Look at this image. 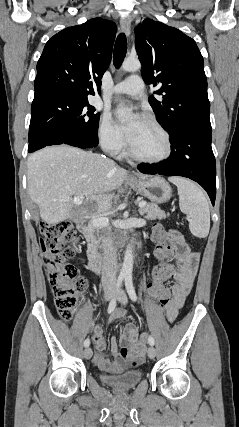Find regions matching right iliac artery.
Segmentation results:
<instances>
[{"label": "right iliac artery", "mask_w": 239, "mask_h": 427, "mask_svg": "<svg viewBox=\"0 0 239 427\" xmlns=\"http://www.w3.org/2000/svg\"><path fill=\"white\" fill-rule=\"evenodd\" d=\"M123 279H124V277H123V276H119V277H118L117 284H116V291H115V295H114V297L112 298V300H111V301H110V303H109V306H108V313H112V312L114 311L115 307H116V296H117V294H118V292H119V289H120V287H121V285H122ZM89 345H90V340H89V338H87V339L84 341V346H85V347H88Z\"/></svg>", "instance_id": "right-iliac-artery-1"}]
</instances>
